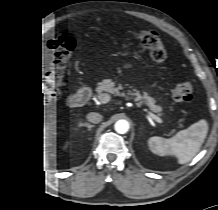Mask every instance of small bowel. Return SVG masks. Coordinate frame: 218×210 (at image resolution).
<instances>
[{"instance_id":"1","label":"small bowel","mask_w":218,"mask_h":210,"mask_svg":"<svg viewBox=\"0 0 218 210\" xmlns=\"http://www.w3.org/2000/svg\"><path fill=\"white\" fill-rule=\"evenodd\" d=\"M129 66H130L129 64L126 65V67H129Z\"/></svg>"}]
</instances>
